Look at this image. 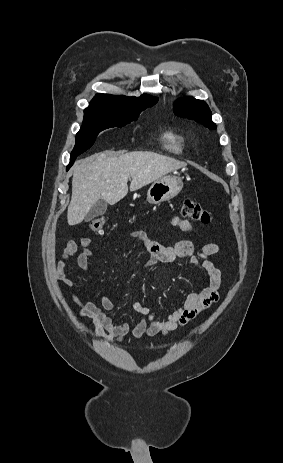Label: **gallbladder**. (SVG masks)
<instances>
[{"mask_svg": "<svg viewBox=\"0 0 283 463\" xmlns=\"http://www.w3.org/2000/svg\"><path fill=\"white\" fill-rule=\"evenodd\" d=\"M107 210V202L104 200H98L89 212L85 216V221H91L92 219L103 215Z\"/></svg>", "mask_w": 283, "mask_h": 463, "instance_id": "1", "label": "gallbladder"}]
</instances>
